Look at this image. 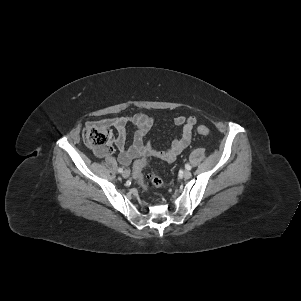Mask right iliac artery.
Listing matches in <instances>:
<instances>
[{"label": "right iliac artery", "instance_id": "obj_1", "mask_svg": "<svg viewBox=\"0 0 301 301\" xmlns=\"http://www.w3.org/2000/svg\"><path fill=\"white\" fill-rule=\"evenodd\" d=\"M118 172H119V173H122V172H123V168L119 167V168H118Z\"/></svg>", "mask_w": 301, "mask_h": 301}]
</instances>
